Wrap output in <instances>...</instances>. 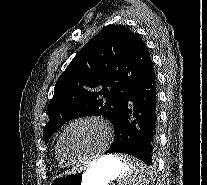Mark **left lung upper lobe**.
Here are the masks:
<instances>
[{"label": "left lung upper lobe", "instance_id": "5c2ea615", "mask_svg": "<svg viewBox=\"0 0 207 185\" xmlns=\"http://www.w3.org/2000/svg\"><path fill=\"white\" fill-rule=\"evenodd\" d=\"M153 67L142 39L123 25H107L73 58L58 78L48 105L44 139L67 121L102 115L113 125L134 84Z\"/></svg>", "mask_w": 207, "mask_h": 185}]
</instances>
